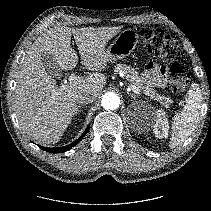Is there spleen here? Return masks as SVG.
<instances>
[{"label":"spleen","instance_id":"spleen-1","mask_svg":"<svg viewBox=\"0 0 211 211\" xmlns=\"http://www.w3.org/2000/svg\"><path fill=\"white\" fill-rule=\"evenodd\" d=\"M202 92L197 83H192L185 97V106L173 117L170 148L181 145L195 130L200 116Z\"/></svg>","mask_w":211,"mask_h":211}]
</instances>
